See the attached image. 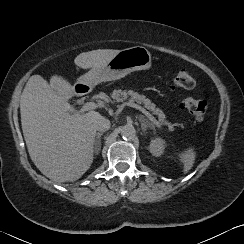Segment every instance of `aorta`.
I'll return each instance as SVG.
<instances>
[{"instance_id": "obj_1", "label": "aorta", "mask_w": 244, "mask_h": 244, "mask_svg": "<svg viewBox=\"0 0 244 244\" xmlns=\"http://www.w3.org/2000/svg\"><path fill=\"white\" fill-rule=\"evenodd\" d=\"M135 133V128L130 124H126L120 128V134L124 139L132 138Z\"/></svg>"}]
</instances>
